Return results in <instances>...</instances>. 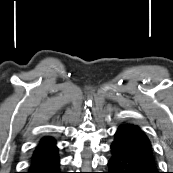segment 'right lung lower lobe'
Here are the masks:
<instances>
[{"mask_svg": "<svg viewBox=\"0 0 173 173\" xmlns=\"http://www.w3.org/2000/svg\"><path fill=\"white\" fill-rule=\"evenodd\" d=\"M26 173H64L60 171L58 148L55 144L37 146Z\"/></svg>", "mask_w": 173, "mask_h": 173, "instance_id": "right-lung-lower-lobe-1", "label": "right lung lower lobe"}]
</instances>
